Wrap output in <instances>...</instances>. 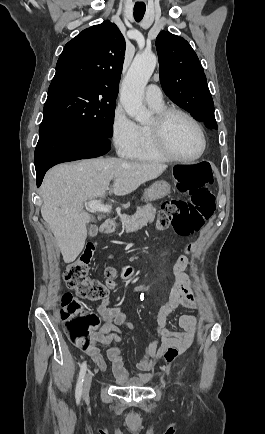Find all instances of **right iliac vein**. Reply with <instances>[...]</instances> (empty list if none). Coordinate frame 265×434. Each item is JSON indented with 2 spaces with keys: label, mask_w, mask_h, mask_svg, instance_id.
<instances>
[{
  "label": "right iliac vein",
  "mask_w": 265,
  "mask_h": 434,
  "mask_svg": "<svg viewBox=\"0 0 265 434\" xmlns=\"http://www.w3.org/2000/svg\"><path fill=\"white\" fill-rule=\"evenodd\" d=\"M92 383V373L88 372L84 380V388H83V397H87L89 395V390Z\"/></svg>",
  "instance_id": "obj_1"
}]
</instances>
